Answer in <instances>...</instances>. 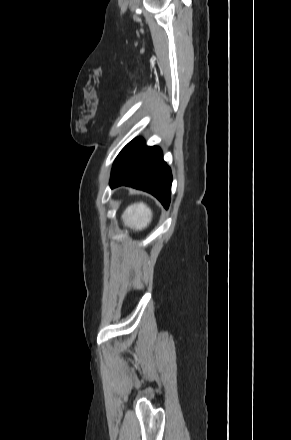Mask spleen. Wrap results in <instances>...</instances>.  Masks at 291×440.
Segmentation results:
<instances>
[{"instance_id":"1","label":"spleen","mask_w":291,"mask_h":440,"mask_svg":"<svg viewBox=\"0 0 291 440\" xmlns=\"http://www.w3.org/2000/svg\"><path fill=\"white\" fill-rule=\"evenodd\" d=\"M125 227L135 231L145 229L152 221V211L143 202L129 205L122 214Z\"/></svg>"}]
</instances>
